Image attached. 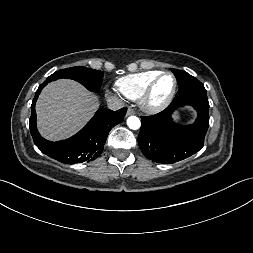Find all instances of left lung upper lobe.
Segmentation results:
<instances>
[{
  "mask_svg": "<svg viewBox=\"0 0 253 253\" xmlns=\"http://www.w3.org/2000/svg\"><path fill=\"white\" fill-rule=\"evenodd\" d=\"M172 71L177 79L179 88H181L182 86H187L191 82L196 80L195 77H193L192 75H190L184 71L176 70V69H172Z\"/></svg>",
  "mask_w": 253,
  "mask_h": 253,
  "instance_id": "left-lung-upper-lobe-1",
  "label": "left lung upper lobe"
}]
</instances>
